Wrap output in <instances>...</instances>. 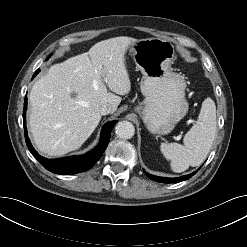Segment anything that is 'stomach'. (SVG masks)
Listing matches in <instances>:
<instances>
[{
	"label": "stomach",
	"mask_w": 247,
	"mask_h": 247,
	"mask_svg": "<svg viewBox=\"0 0 247 247\" xmlns=\"http://www.w3.org/2000/svg\"><path fill=\"white\" fill-rule=\"evenodd\" d=\"M128 49L143 75L140 88L145 99L135 110L152 134L166 135L189 109L186 81L171 67L174 45L161 38H146L130 44Z\"/></svg>",
	"instance_id": "0dacf381"
}]
</instances>
